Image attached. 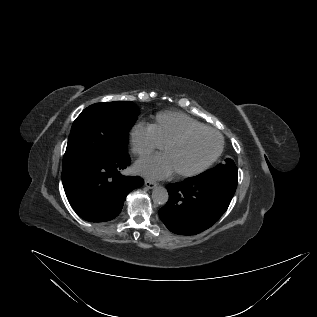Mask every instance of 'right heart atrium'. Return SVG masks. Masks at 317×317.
<instances>
[{
    "label": "right heart atrium",
    "instance_id": "d8ad5b80",
    "mask_svg": "<svg viewBox=\"0 0 317 317\" xmlns=\"http://www.w3.org/2000/svg\"><path fill=\"white\" fill-rule=\"evenodd\" d=\"M129 138L133 153L140 157L147 156L163 146L156 138L151 126L144 122H137L132 126Z\"/></svg>",
    "mask_w": 317,
    "mask_h": 317
}]
</instances>
